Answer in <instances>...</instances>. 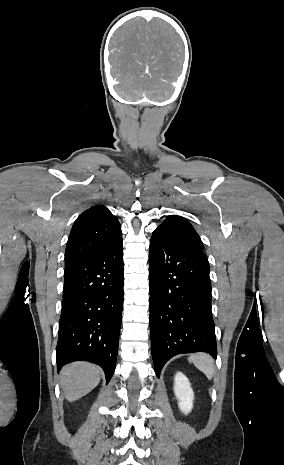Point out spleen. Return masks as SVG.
Masks as SVG:
<instances>
[{
  "instance_id": "1",
  "label": "spleen",
  "mask_w": 284,
  "mask_h": 465,
  "mask_svg": "<svg viewBox=\"0 0 284 465\" xmlns=\"http://www.w3.org/2000/svg\"><path fill=\"white\" fill-rule=\"evenodd\" d=\"M188 361L189 363H193L199 371H202L207 379H210V381L213 379L214 365L210 355H206V353H197V355H190Z\"/></svg>"
}]
</instances>
